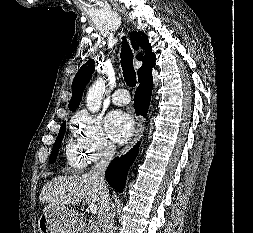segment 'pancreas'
Segmentation results:
<instances>
[{
    "label": "pancreas",
    "instance_id": "pancreas-1",
    "mask_svg": "<svg viewBox=\"0 0 253 233\" xmlns=\"http://www.w3.org/2000/svg\"><path fill=\"white\" fill-rule=\"evenodd\" d=\"M83 233H103L102 224L99 219L89 220Z\"/></svg>",
    "mask_w": 253,
    "mask_h": 233
}]
</instances>
